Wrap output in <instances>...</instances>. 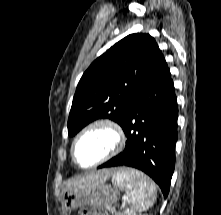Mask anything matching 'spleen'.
<instances>
[{
	"instance_id": "spleen-1",
	"label": "spleen",
	"mask_w": 221,
	"mask_h": 215,
	"mask_svg": "<svg viewBox=\"0 0 221 215\" xmlns=\"http://www.w3.org/2000/svg\"><path fill=\"white\" fill-rule=\"evenodd\" d=\"M114 186L125 190L127 200L135 211H146L156 199V185L143 173L136 170H123L112 177Z\"/></svg>"
}]
</instances>
